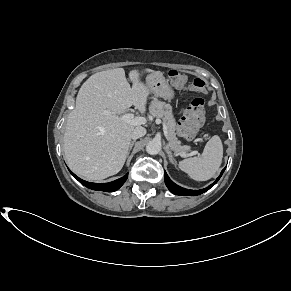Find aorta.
Returning a JSON list of instances; mask_svg holds the SVG:
<instances>
[{"label": "aorta", "mask_w": 291, "mask_h": 291, "mask_svg": "<svg viewBox=\"0 0 291 291\" xmlns=\"http://www.w3.org/2000/svg\"><path fill=\"white\" fill-rule=\"evenodd\" d=\"M160 150H161V142L158 140L153 139L150 142H148V144L146 146L147 153H149L151 155L158 154Z\"/></svg>", "instance_id": "1"}]
</instances>
